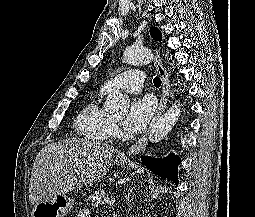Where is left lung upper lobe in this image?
<instances>
[{"label":"left lung upper lobe","instance_id":"1","mask_svg":"<svg viewBox=\"0 0 255 217\" xmlns=\"http://www.w3.org/2000/svg\"><path fill=\"white\" fill-rule=\"evenodd\" d=\"M150 34L154 40L160 41L162 38L160 30L156 27H151Z\"/></svg>","mask_w":255,"mask_h":217}]
</instances>
